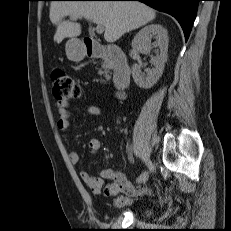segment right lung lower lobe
Returning <instances> with one entry per match:
<instances>
[{"label": "right lung lower lobe", "mask_w": 231, "mask_h": 231, "mask_svg": "<svg viewBox=\"0 0 231 231\" xmlns=\"http://www.w3.org/2000/svg\"><path fill=\"white\" fill-rule=\"evenodd\" d=\"M107 1V0H94ZM109 1V0H108ZM111 1V0H110ZM140 1L154 9L172 15L180 23L187 40L197 14L198 3L201 0H114Z\"/></svg>", "instance_id": "1"}]
</instances>
